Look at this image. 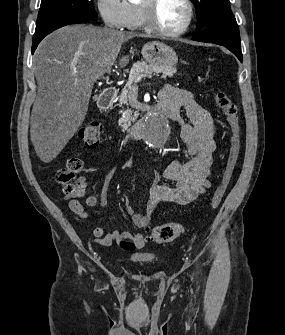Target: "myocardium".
I'll return each instance as SVG.
<instances>
[{"mask_svg":"<svg viewBox=\"0 0 285 335\" xmlns=\"http://www.w3.org/2000/svg\"><path fill=\"white\" fill-rule=\"evenodd\" d=\"M187 9L188 15L185 23L176 30L164 29L157 21L156 13L159 1H143L144 26L150 32L163 37H178L184 34L191 26L193 20V7L190 1H179Z\"/></svg>","mask_w":285,"mask_h":335,"instance_id":"1","label":"myocardium"}]
</instances>
